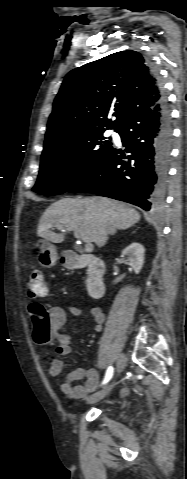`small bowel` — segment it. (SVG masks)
I'll use <instances>...</instances> for the list:
<instances>
[{"label":"small bowel","mask_w":187,"mask_h":479,"mask_svg":"<svg viewBox=\"0 0 187 479\" xmlns=\"http://www.w3.org/2000/svg\"><path fill=\"white\" fill-rule=\"evenodd\" d=\"M32 308H30V311ZM67 310L74 316H81L82 310L76 306H68ZM50 325L48 328L38 329L39 335L44 336L49 333L53 334L56 346L55 352L58 356H68L71 352V337L67 333L61 332L66 321V311L62 307H52L49 309ZM90 316L94 324V330L100 331L104 322V313L100 307L93 306L90 309ZM64 364L62 360L53 358L50 362L48 372L51 376L57 377L61 374ZM85 378L84 385H74L80 379ZM99 374L93 368H78L71 372L66 380L61 383L60 390L64 397L68 399H81L92 392L99 384ZM127 388L122 389V393H126Z\"/></svg>","instance_id":"c3829d8e"}]
</instances>
